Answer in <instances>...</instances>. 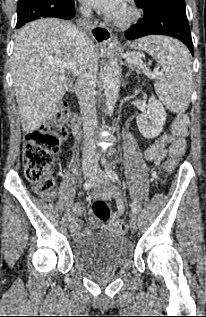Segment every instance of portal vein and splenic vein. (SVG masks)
I'll list each match as a JSON object with an SVG mask.
<instances>
[{"label": "portal vein and splenic vein", "instance_id": "18ae733b", "mask_svg": "<svg viewBox=\"0 0 206 317\" xmlns=\"http://www.w3.org/2000/svg\"><path fill=\"white\" fill-rule=\"evenodd\" d=\"M127 62L130 63V64H137L139 65L144 73L151 79H154V78H162L163 77V74L161 72H158V71H154L153 73L150 72L147 68H146V65L142 62V60L138 57H130L127 59ZM48 63L53 65V66H56V67H59L61 69H70L75 75L78 74V71L76 69V67L65 61V60H62V59H57V58H49L48 59Z\"/></svg>", "mask_w": 206, "mask_h": 317}]
</instances>
